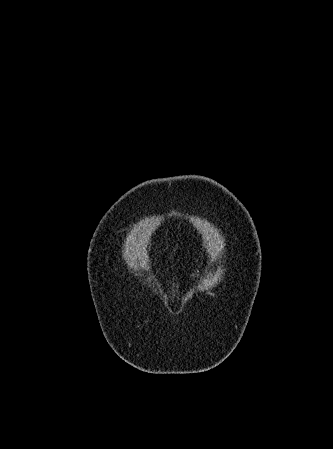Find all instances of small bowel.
Returning <instances> with one entry per match:
<instances>
[{
  "instance_id": "c3829d8e",
  "label": "small bowel",
  "mask_w": 333,
  "mask_h": 449,
  "mask_svg": "<svg viewBox=\"0 0 333 449\" xmlns=\"http://www.w3.org/2000/svg\"><path fill=\"white\" fill-rule=\"evenodd\" d=\"M197 277H198V274H197V273H193V274L190 276V281H191L192 283H194V282L197 280Z\"/></svg>"
}]
</instances>
